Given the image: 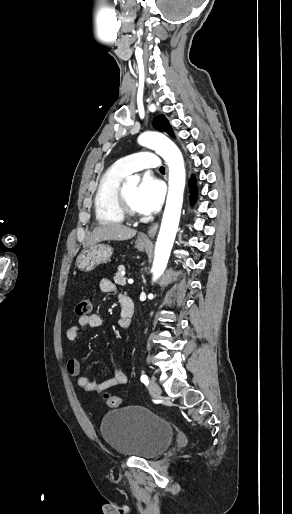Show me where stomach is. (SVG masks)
Listing matches in <instances>:
<instances>
[{
	"label": "stomach",
	"instance_id": "1",
	"mask_svg": "<svg viewBox=\"0 0 292 514\" xmlns=\"http://www.w3.org/2000/svg\"><path fill=\"white\" fill-rule=\"evenodd\" d=\"M135 244V248H137L139 252H143L146 246H149L151 242H140V240H136ZM112 254L113 248H111V246H106V244L90 246V248L83 250V252L79 254L76 260L77 268L82 270V272H91V270H94V268L99 266V264L110 262Z\"/></svg>",
	"mask_w": 292,
	"mask_h": 514
}]
</instances>
